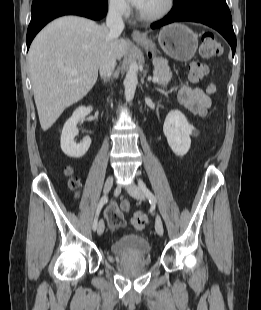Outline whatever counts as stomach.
Here are the masks:
<instances>
[{
  "label": "stomach",
  "instance_id": "stomach-1",
  "mask_svg": "<svg viewBox=\"0 0 261 310\" xmlns=\"http://www.w3.org/2000/svg\"><path fill=\"white\" fill-rule=\"evenodd\" d=\"M158 42L168 56L182 62L191 60L198 48L197 35L181 23H172L164 27L159 33ZM139 43L148 49L151 55H155V45L151 41Z\"/></svg>",
  "mask_w": 261,
  "mask_h": 310
}]
</instances>
